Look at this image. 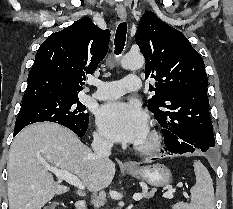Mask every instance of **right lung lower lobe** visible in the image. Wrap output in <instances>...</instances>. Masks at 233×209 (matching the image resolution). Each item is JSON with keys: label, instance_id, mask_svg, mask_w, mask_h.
<instances>
[{"label": "right lung lower lobe", "instance_id": "1", "mask_svg": "<svg viewBox=\"0 0 233 209\" xmlns=\"http://www.w3.org/2000/svg\"><path fill=\"white\" fill-rule=\"evenodd\" d=\"M87 128H88V125L84 128H81V129H71V128H69V129L74 131L79 137H82L86 133ZM22 129L23 128L14 129V136H16L20 132V130H22Z\"/></svg>", "mask_w": 233, "mask_h": 209}]
</instances>
